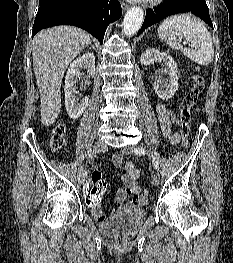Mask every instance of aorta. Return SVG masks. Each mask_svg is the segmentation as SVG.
Instances as JSON below:
<instances>
[{
	"mask_svg": "<svg viewBox=\"0 0 233 263\" xmlns=\"http://www.w3.org/2000/svg\"><path fill=\"white\" fill-rule=\"evenodd\" d=\"M144 12L140 7H132L124 17L123 32L127 36L134 35L142 26Z\"/></svg>",
	"mask_w": 233,
	"mask_h": 263,
	"instance_id": "obj_1",
	"label": "aorta"
}]
</instances>
